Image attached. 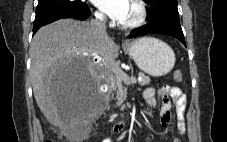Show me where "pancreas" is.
Returning <instances> with one entry per match:
<instances>
[{
  "label": "pancreas",
  "instance_id": "pancreas-1",
  "mask_svg": "<svg viewBox=\"0 0 227 142\" xmlns=\"http://www.w3.org/2000/svg\"><path fill=\"white\" fill-rule=\"evenodd\" d=\"M139 77L141 80L139 81V85L146 86L150 83V78L146 76L144 73L140 72ZM114 87L117 88L116 91V99L117 106H121V110L125 108L123 102L127 98V88L123 86V80L119 79L117 75L114 76Z\"/></svg>",
  "mask_w": 227,
  "mask_h": 142
}]
</instances>
